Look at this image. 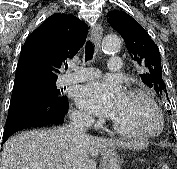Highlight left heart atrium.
Instances as JSON below:
<instances>
[{
	"instance_id": "obj_1",
	"label": "left heart atrium",
	"mask_w": 177,
	"mask_h": 169,
	"mask_svg": "<svg viewBox=\"0 0 177 169\" xmlns=\"http://www.w3.org/2000/svg\"><path fill=\"white\" fill-rule=\"evenodd\" d=\"M124 94L118 83L98 80L77 88L75 100L82 109L98 116L112 117Z\"/></svg>"
}]
</instances>
